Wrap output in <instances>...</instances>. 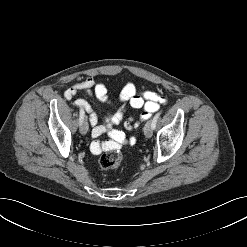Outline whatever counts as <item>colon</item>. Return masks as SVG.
I'll list each match as a JSON object with an SVG mask.
<instances>
[{
    "instance_id": "1",
    "label": "colon",
    "mask_w": 247,
    "mask_h": 247,
    "mask_svg": "<svg viewBox=\"0 0 247 247\" xmlns=\"http://www.w3.org/2000/svg\"><path fill=\"white\" fill-rule=\"evenodd\" d=\"M116 140L110 142L109 148L105 151L99 158V166L105 170L116 169L121 163V154L118 151L119 142L122 140L123 136L121 134H116Z\"/></svg>"
}]
</instances>
